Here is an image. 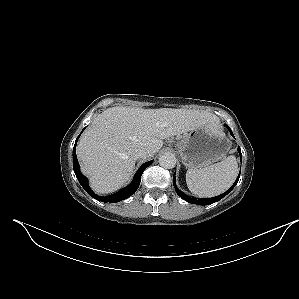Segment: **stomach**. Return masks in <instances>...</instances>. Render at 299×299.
I'll return each mask as SVG.
<instances>
[{
	"label": "stomach",
	"instance_id": "0dacf381",
	"mask_svg": "<svg viewBox=\"0 0 299 299\" xmlns=\"http://www.w3.org/2000/svg\"><path fill=\"white\" fill-rule=\"evenodd\" d=\"M230 147V140L212 124L191 130L176 144L184 166L192 170L203 169L221 160Z\"/></svg>",
	"mask_w": 299,
	"mask_h": 299
}]
</instances>
